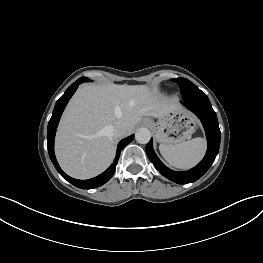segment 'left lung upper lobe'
<instances>
[{
  "label": "left lung upper lobe",
  "instance_id": "1",
  "mask_svg": "<svg viewBox=\"0 0 263 263\" xmlns=\"http://www.w3.org/2000/svg\"><path fill=\"white\" fill-rule=\"evenodd\" d=\"M173 81L179 84L182 95L201 92V90L195 84L186 78H176L173 79Z\"/></svg>",
  "mask_w": 263,
  "mask_h": 263
}]
</instances>
